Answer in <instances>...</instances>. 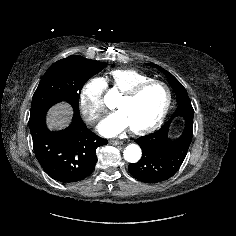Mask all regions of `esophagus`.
<instances>
[{
	"label": "esophagus",
	"mask_w": 236,
	"mask_h": 236,
	"mask_svg": "<svg viewBox=\"0 0 236 236\" xmlns=\"http://www.w3.org/2000/svg\"><path fill=\"white\" fill-rule=\"evenodd\" d=\"M109 144H111V145H121L122 142H121V141H118V140H110V141H109Z\"/></svg>",
	"instance_id": "esophagus-1"
}]
</instances>
